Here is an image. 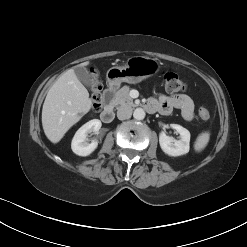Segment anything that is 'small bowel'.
Segmentation results:
<instances>
[{
	"mask_svg": "<svg viewBox=\"0 0 247 247\" xmlns=\"http://www.w3.org/2000/svg\"><path fill=\"white\" fill-rule=\"evenodd\" d=\"M149 110L158 111L162 115H168L173 109L181 110L183 118L191 121L194 118V102L186 94L159 95L149 100Z\"/></svg>",
	"mask_w": 247,
	"mask_h": 247,
	"instance_id": "1",
	"label": "small bowel"
}]
</instances>
